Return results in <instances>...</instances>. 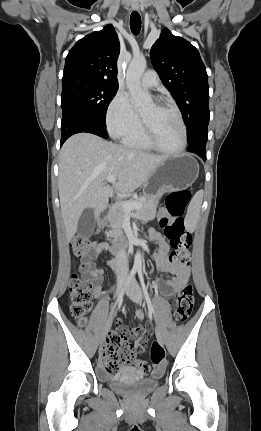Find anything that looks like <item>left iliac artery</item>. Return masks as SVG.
Returning <instances> with one entry per match:
<instances>
[{"label":"left iliac artery","instance_id":"1","mask_svg":"<svg viewBox=\"0 0 261 431\" xmlns=\"http://www.w3.org/2000/svg\"><path fill=\"white\" fill-rule=\"evenodd\" d=\"M137 271H138V275H139V278H140V282H141L142 290H143V293H144V297H145V300H146L147 305H148V309H149V311L151 313L155 314V311H154L151 299L149 297L148 291H147L145 283H144V279H143V276H142V270H141V268H139Z\"/></svg>","mask_w":261,"mask_h":431}]
</instances>
